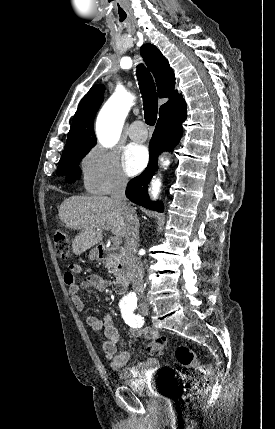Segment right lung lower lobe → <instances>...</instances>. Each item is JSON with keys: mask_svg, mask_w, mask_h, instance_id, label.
Segmentation results:
<instances>
[{"mask_svg": "<svg viewBox=\"0 0 275 429\" xmlns=\"http://www.w3.org/2000/svg\"><path fill=\"white\" fill-rule=\"evenodd\" d=\"M186 103L168 117L158 119L155 131L150 141L149 163L147 168L132 179L127 186L126 196L130 201L147 209L163 211V204L150 201L147 188L149 179L158 168V156L164 151H172L182 136V122L186 119Z\"/></svg>", "mask_w": 275, "mask_h": 429, "instance_id": "1", "label": "right lung lower lobe"}]
</instances>
